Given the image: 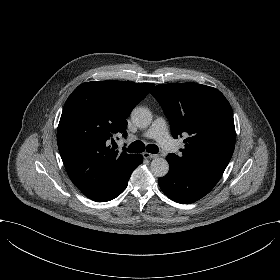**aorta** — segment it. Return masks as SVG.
Returning <instances> with one entry per match:
<instances>
[{"label": "aorta", "mask_w": 280, "mask_h": 280, "mask_svg": "<svg viewBox=\"0 0 280 280\" xmlns=\"http://www.w3.org/2000/svg\"><path fill=\"white\" fill-rule=\"evenodd\" d=\"M132 121L139 128H145L152 123V113L145 107H136L131 114ZM151 173L156 177H164L169 171V165L164 158H155L150 164Z\"/></svg>", "instance_id": "obj_1"}]
</instances>
